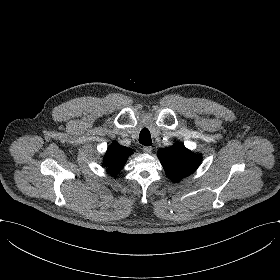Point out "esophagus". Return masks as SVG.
<instances>
[{
  "instance_id": "1",
  "label": "esophagus",
  "mask_w": 280,
  "mask_h": 280,
  "mask_svg": "<svg viewBox=\"0 0 280 280\" xmlns=\"http://www.w3.org/2000/svg\"><path fill=\"white\" fill-rule=\"evenodd\" d=\"M143 152L146 154H150L152 152V147L151 146H144L143 147Z\"/></svg>"
}]
</instances>
